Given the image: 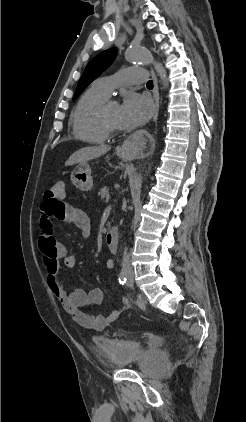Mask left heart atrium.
<instances>
[{
  "instance_id": "obj_1",
  "label": "left heart atrium",
  "mask_w": 246,
  "mask_h": 422,
  "mask_svg": "<svg viewBox=\"0 0 246 422\" xmlns=\"http://www.w3.org/2000/svg\"><path fill=\"white\" fill-rule=\"evenodd\" d=\"M149 100L134 92H128L119 108V125L130 129L142 125L152 114Z\"/></svg>"
}]
</instances>
